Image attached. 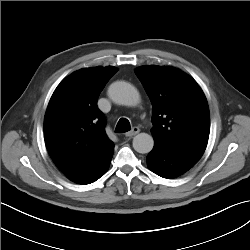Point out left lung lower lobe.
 Returning a JSON list of instances; mask_svg holds the SVG:
<instances>
[{
  "label": "left lung lower lobe",
  "instance_id": "0a47b994",
  "mask_svg": "<svg viewBox=\"0 0 250 250\" xmlns=\"http://www.w3.org/2000/svg\"><path fill=\"white\" fill-rule=\"evenodd\" d=\"M202 155L200 151L172 149L154 143L147 156V165L159 176L171 179L188 171Z\"/></svg>",
  "mask_w": 250,
  "mask_h": 250
}]
</instances>
